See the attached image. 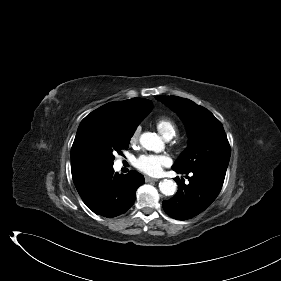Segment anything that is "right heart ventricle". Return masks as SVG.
<instances>
[{"label": "right heart ventricle", "mask_w": 281, "mask_h": 281, "mask_svg": "<svg viewBox=\"0 0 281 281\" xmlns=\"http://www.w3.org/2000/svg\"><path fill=\"white\" fill-rule=\"evenodd\" d=\"M155 125L158 131L163 135L164 138L170 139L175 136L177 132V126L175 122L167 117L160 116L155 120Z\"/></svg>", "instance_id": "right-heart-ventricle-1"}]
</instances>
